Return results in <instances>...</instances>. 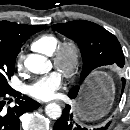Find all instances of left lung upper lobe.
Returning <instances> with one entry per match:
<instances>
[{
	"instance_id": "obj_1",
	"label": "left lung upper lobe",
	"mask_w": 130,
	"mask_h": 130,
	"mask_svg": "<svg viewBox=\"0 0 130 130\" xmlns=\"http://www.w3.org/2000/svg\"><path fill=\"white\" fill-rule=\"evenodd\" d=\"M52 27L79 45L83 59L81 82L98 67L113 63L124 66L125 59L119 41L103 27L85 20L55 24ZM79 89V86H74L69 93L77 95Z\"/></svg>"
}]
</instances>
